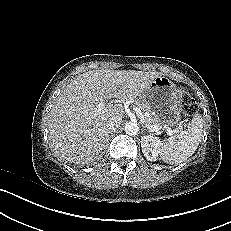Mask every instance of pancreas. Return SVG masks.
I'll use <instances>...</instances> for the list:
<instances>
[{"mask_svg":"<svg viewBox=\"0 0 231 231\" xmlns=\"http://www.w3.org/2000/svg\"><path fill=\"white\" fill-rule=\"evenodd\" d=\"M138 106L140 107L143 115H144V118L142 120V123L145 125V126H157V125H161V120L157 117H153L148 111L147 109L145 108V106L143 104H140V103H137Z\"/></svg>","mask_w":231,"mask_h":231,"instance_id":"1","label":"pancreas"}]
</instances>
